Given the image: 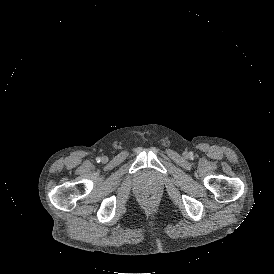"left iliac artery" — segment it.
I'll return each mask as SVG.
<instances>
[{
  "label": "left iliac artery",
  "mask_w": 274,
  "mask_h": 274,
  "mask_svg": "<svg viewBox=\"0 0 274 274\" xmlns=\"http://www.w3.org/2000/svg\"><path fill=\"white\" fill-rule=\"evenodd\" d=\"M190 154H191V156L193 155V153H192V152H190Z\"/></svg>",
  "instance_id": "obj_1"
}]
</instances>
